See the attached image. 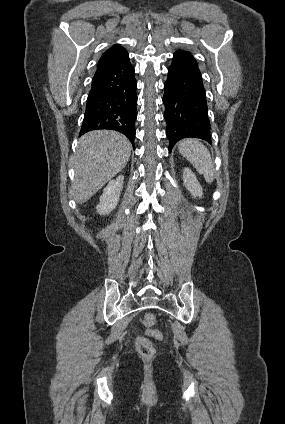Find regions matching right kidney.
<instances>
[{"label": "right kidney", "instance_id": "right-kidney-1", "mask_svg": "<svg viewBox=\"0 0 285 424\" xmlns=\"http://www.w3.org/2000/svg\"><path fill=\"white\" fill-rule=\"evenodd\" d=\"M123 180L124 176L119 175L115 180L110 181L103 190V194L100 197V203L96 206V210L99 214H109L116 208L121 190L123 189Z\"/></svg>", "mask_w": 285, "mask_h": 424}]
</instances>
